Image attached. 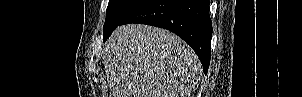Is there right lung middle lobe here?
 <instances>
[{"label": "right lung middle lobe", "mask_w": 302, "mask_h": 97, "mask_svg": "<svg viewBox=\"0 0 302 97\" xmlns=\"http://www.w3.org/2000/svg\"><path fill=\"white\" fill-rule=\"evenodd\" d=\"M144 0H109L103 27L105 42L121 21L137 8Z\"/></svg>", "instance_id": "dd1d6c3e"}]
</instances>
